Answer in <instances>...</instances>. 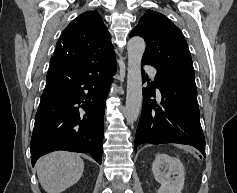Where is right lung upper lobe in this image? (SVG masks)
Returning a JSON list of instances; mask_svg holds the SVG:
<instances>
[{
    "label": "right lung upper lobe",
    "instance_id": "1",
    "mask_svg": "<svg viewBox=\"0 0 237 193\" xmlns=\"http://www.w3.org/2000/svg\"><path fill=\"white\" fill-rule=\"evenodd\" d=\"M111 36L97 11L84 12L64 30L51 60L75 66L101 63L114 58Z\"/></svg>",
    "mask_w": 237,
    "mask_h": 193
}]
</instances>
